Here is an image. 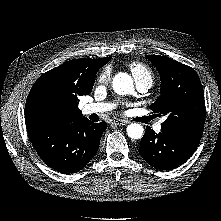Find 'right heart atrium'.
<instances>
[{"mask_svg": "<svg viewBox=\"0 0 221 221\" xmlns=\"http://www.w3.org/2000/svg\"><path fill=\"white\" fill-rule=\"evenodd\" d=\"M110 80V69L108 67L102 69L97 76V84L105 85Z\"/></svg>", "mask_w": 221, "mask_h": 221, "instance_id": "d8ad5b80", "label": "right heart atrium"}]
</instances>
